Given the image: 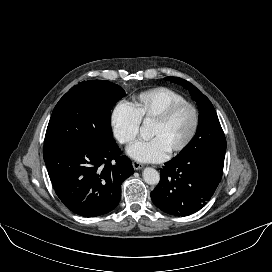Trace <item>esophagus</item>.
<instances>
[{
    "instance_id": "34e87169",
    "label": "esophagus",
    "mask_w": 272,
    "mask_h": 272,
    "mask_svg": "<svg viewBox=\"0 0 272 272\" xmlns=\"http://www.w3.org/2000/svg\"><path fill=\"white\" fill-rule=\"evenodd\" d=\"M132 165H133V168L135 169V170H141L143 167H144V165L143 164H141V163H138V162H132Z\"/></svg>"
}]
</instances>
